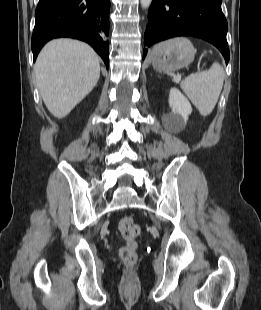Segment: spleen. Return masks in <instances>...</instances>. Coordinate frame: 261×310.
<instances>
[{
  "label": "spleen",
  "mask_w": 261,
  "mask_h": 310,
  "mask_svg": "<svg viewBox=\"0 0 261 310\" xmlns=\"http://www.w3.org/2000/svg\"><path fill=\"white\" fill-rule=\"evenodd\" d=\"M224 83V70L218 63L211 68L188 76L180 87L202 116L213 111Z\"/></svg>",
  "instance_id": "spleen-1"
}]
</instances>
